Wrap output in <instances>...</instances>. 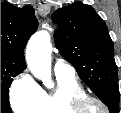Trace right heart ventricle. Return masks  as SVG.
<instances>
[{
	"label": "right heart ventricle",
	"mask_w": 121,
	"mask_h": 113,
	"mask_svg": "<svg viewBox=\"0 0 121 113\" xmlns=\"http://www.w3.org/2000/svg\"><path fill=\"white\" fill-rule=\"evenodd\" d=\"M57 84L51 90L38 89L36 99L30 104H21L19 113H59L63 109H75L76 101L85 92L73 74H55Z\"/></svg>",
	"instance_id": "right-heart-ventricle-1"
}]
</instances>
